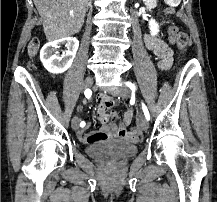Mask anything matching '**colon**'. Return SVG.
<instances>
[{
	"label": "colon",
	"instance_id": "obj_1",
	"mask_svg": "<svg viewBox=\"0 0 217 202\" xmlns=\"http://www.w3.org/2000/svg\"><path fill=\"white\" fill-rule=\"evenodd\" d=\"M169 14V11H167ZM170 37L175 42L176 46L181 52H185L187 46L190 43V39L188 34L182 28H177L175 26H171L168 30ZM40 41L38 38L34 37L30 40L28 44V55L30 58H33L39 48ZM131 132H138V127H131Z\"/></svg>",
	"mask_w": 217,
	"mask_h": 202
}]
</instances>
